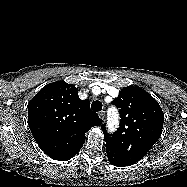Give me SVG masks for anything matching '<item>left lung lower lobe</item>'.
<instances>
[{"instance_id":"1","label":"left lung lower lobe","mask_w":187,"mask_h":187,"mask_svg":"<svg viewBox=\"0 0 187 187\" xmlns=\"http://www.w3.org/2000/svg\"><path fill=\"white\" fill-rule=\"evenodd\" d=\"M106 152H107L108 159L112 165H115L117 167H125L134 164V162L121 157L120 155L114 153L113 151L106 149Z\"/></svg>"}]
</instances>
